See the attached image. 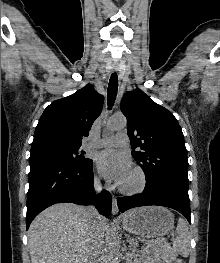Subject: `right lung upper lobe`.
<instances>
[{
  "mask_svg": "<svg viewBox=\"0 0 220 263\" xmlns=\"http://www.w3.org/2000/svg\"><path fill=\"white\" fill-rule=\"evenodd\" d=\"M103 100V96L88 84L76 93L52 102L39 119L30 153L80 147L82 137L88 136L101 113Z\"/></svg>",
  "mask_w": 220,
  "mask_h": 263,
  "instance_id": "1",
  "label": "right lung upper lobe"
}]
</instances>
